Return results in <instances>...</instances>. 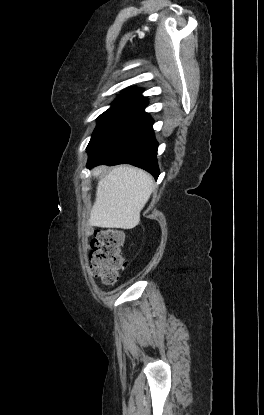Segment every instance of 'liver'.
<instances>
[{"instance_id": "liver-1", "label": "liver", "mask_w": 264, "mask_h": 415, "mask_svg": "<svg viewBox=\"0 0 264 415\" xmlns=\"http://www.w3.org/2000/svg\"><path fill=\"white\" fill-rule=\"evenodd\" d=\"M104 167L93 171L98 177ZM154 188L153 177L146 171L119 165L113 168L97 186L89 225L101 228L132 229L140 222V212Z\"/></svg>"}]
</instances>
